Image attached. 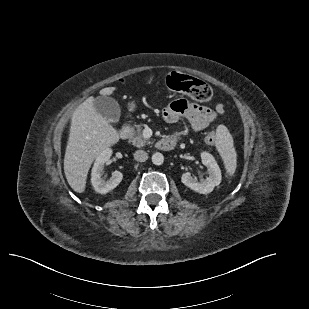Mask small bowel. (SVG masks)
Returning <instances> with one entry per match:
<instances>
[{"label": "small bowel", "mask_w": 309, "mask_h": 309, "mask_svg": "<svg viewBox=\"0 0 309 309\" xmlns=\"http://www.w3.org/2000/svg\"><path fill=\"white\" fill-rule=\"evenodd\" d=\"M225 107L218 104L215 109L197 105L180 99L172 102L163 109V118L169 122H177L180 118H185L195 131L207 128L218 116L223 115Z\"/></svg>", "instance_id": "obj_1"}]
</instances>
